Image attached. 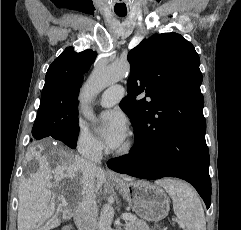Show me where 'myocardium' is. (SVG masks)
I'll return each instance as SVG.
<instances>
[{
	"mask_svg": "<svg viewBox=\"0 0 241 230\" xmlns=\"http://www.w3.org/2000/svg\"><path fill=\"white\" fill-rule=\"evenodd\" d=\"M134 145V141L128 140L116 151V154L119 156L129 155L133 151Z\"/></svg>",
	"mask_w": 241,
	"mask_h": 230,
	"instance_id": "myocardium-1",
	"label": "myocardium"
}]
</instances>
